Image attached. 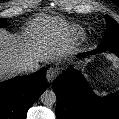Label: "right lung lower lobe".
<instances>
[{"instance_id":"obj_1","label":"right lung lower lobe","mask_w":119,"mask_h":119,"mask_svg":"<svg viewBox=\"0 0 119 119\" xmlns=\"http://www.w3.org/2000/svg\"><path fill=\"white\" fill-rule=\"evenodd\" d=\"M46 87V68L0 83V119H26L29 107Z\"/></svg>"}]
</instances>
